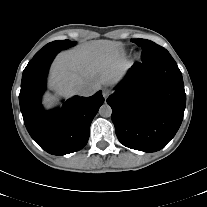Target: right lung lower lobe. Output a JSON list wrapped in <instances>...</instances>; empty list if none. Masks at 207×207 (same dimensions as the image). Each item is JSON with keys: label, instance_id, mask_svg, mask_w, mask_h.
I'll return each instance as SVG.
<instances>
[{"label": "right lung lower lobe", "instance_id": "1", "mask_svg": "<svg viewBox=\"0 0 207 207\" xmlns=\"http://www.w3.org/2000/svg\"><path fill=\"white\" fill-rule=\"evenodd\" d=\"M56 52L34 57L23 71L19 103L27 131L46 152L65 155L82 149L90 134V125L104 98L99 91L90 97L75 96L60 109L45 112L41 97Z\"/></svg>", "mask_w": 207, "mask_h": 207}]
</instances>
